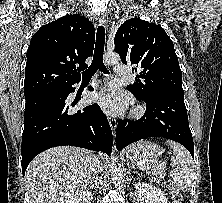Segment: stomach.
<instances>
[{
  "instance_id": "0dacf381",
  "label": "stomach",
  "mask_w": 222,
  "mask_h": 203,
  "mask_svg": "<svg viewBox=\"0 0 222 203\" xmlns=\"http://www.w3.org/2000/svg\"><path fill=\"white\" fill-rule=\"evenodd\" d=\"M163 153V149L149 141H140L127 148L126 156L128 159L136 161L153 160Z\"/></svg>"
}]
</instances>
